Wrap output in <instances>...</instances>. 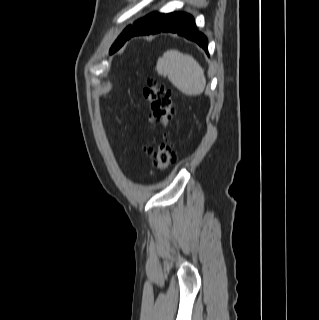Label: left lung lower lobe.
<instances>
[{
	"label": "left lung lower lobe",
	"instance_id": "0a47b994",
	"mask_svg": "<svg viewBox=\"0 0 319 320\" xmlns=\"http://www.w3.org/2000/svg\"><path fill=\"white\" fill-rule=\"evenodd\" d=\"M159 32H172L196 42L208 53V40L204 34L197 30L191 15L177 13L154 12L137 21L126 35L124 43L136 35H149ZM123 43V44H124Z\"/></svg>",
	"mask_w": 319,
	"mask_h": 320
}]
</instances>
